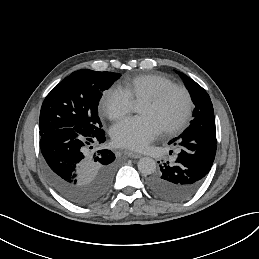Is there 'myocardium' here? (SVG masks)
Here are the masks:
<instances>
[{
	"instance_id": "myocardium-1",
	"label": "myocardium",
	"mask_w": 259,
	"mask_h": 259,
	"mask_svg": "<svg viewBox=\"0 0 259 259\" xmlns=\"http://www.w3.org/2000/svg\"><path fill=\"white\" fill-rule=\"evenodd\" d=\"M176 92H179L183 95L185 108L182 116L176 123L162 129V132L168 136H172L180 132L187 124L192 115L193 99L190 91L185 86L173 83L162 88L155 95L144 99L145 102L157 106L162 104L167 98H169L173 93Z\"/></svg>"
}]
</instances>
